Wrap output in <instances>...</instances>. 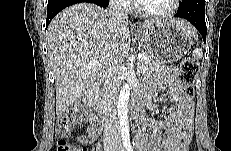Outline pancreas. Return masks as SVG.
<instances>
[{
	"instance_id": "obj_1",
	"label": "pancreas",
	"mask_w": 231,
	"mask_h": 151,
	"mask_svg": "<svg viewBox=\"0 0 231 151\" xmlns=\"http://www.w3.org/2000/svg\"><path fill=\"white\" fill-rule=\"evenodd\" d=\"M145 57L143 60L138 62V71L142 74H150L154 71H157L161 68L162 63L152 59L149 55L146 53L144 54ZM104 90L101 92V96L103 95Z\"/></svg>"
}]
</instances>
